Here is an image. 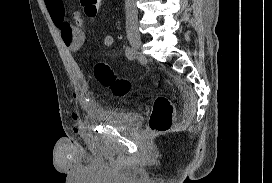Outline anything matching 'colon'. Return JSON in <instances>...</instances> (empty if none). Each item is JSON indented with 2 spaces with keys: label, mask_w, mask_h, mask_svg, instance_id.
<instances>
[{
  "label": "colon",
  "mask_w": 272,
  "mask_h": 183,
  "mask_svg": "<svg viewBox=\"0 0 272 183\" xmlns=\"http://www.w3.org/2000/svg\"><path fill=\"white\" fill-rule=\"evenodd\" d=\"M80 2L84 13L89 17L95 16L102 4V0H80ZM94 74L97 81L110 89L115 96H124L131 88V83L128 80L118 78L105 63L96 64ZM173 116L174 108L171 101L164 96L157 97L149 119L150 130L155 134L167 132L172 126Z\"/></svg>",
  "instance_id": "colon-1"
}]
</instances>
